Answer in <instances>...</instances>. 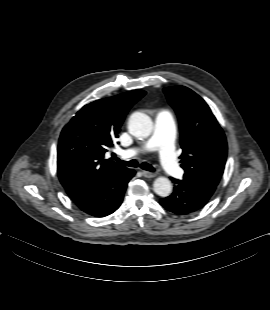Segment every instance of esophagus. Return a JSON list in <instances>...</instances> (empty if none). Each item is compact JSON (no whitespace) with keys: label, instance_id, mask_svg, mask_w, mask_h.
Segmentation results:
<instances>
[{"label":"esophagus","instance_id":"obj_1","mask_svg":"<svg viewBox=\"0 0 270 310\" xmlns=\"http://www.w3.org/2000/svg\"><path fill=\"white\" fill-rule=\"evenodd\" d=\"M142 174L146 178H153L156 176V173L154 172H149V171H142Z\"/></svg>","mask_w":270,"mask_h":310}]
</instances>
